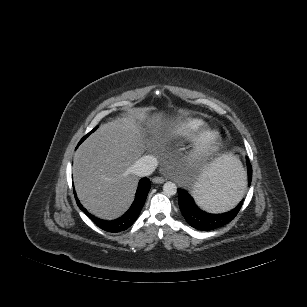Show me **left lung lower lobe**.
<instances>
[{
	"label": "left lung lower lobe",
	"mask_w": 307,
	"mask_h": 307,
	"mask_svg": "<svg viewBox=\"0 0 307 307\" xmlns=\"http://www.w3.org/2000/svg\"><path fill=\"white\" fill-rule=\"evenodd\" d=\"M247 168H248V186H250L252 180V167L249 162V159H247ZM240 188H241V193H240V199H241L246 189V183L244 181L243 183H241ZM178 195H179V207L185 220L193 228L202 231L214 230L229 223L236 217L243 204V199H242V201L231 211L222 214H210L205 211H202L195 204L193 198L186 190L179 188Z\"/></svg>",
	"instance_id": "left-lung-lower-lobe-1"
}]
</instances>
